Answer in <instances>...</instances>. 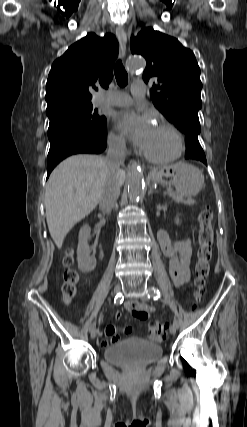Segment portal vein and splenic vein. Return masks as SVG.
I'll return each mask as SVG.
<instances>
[{
  "label": "portal vein and splenic vein",
  "mask_w": 247,
  "mask_h": 427,
  "mask_svg": "<svg viewBox=\"0 0 247 427\" xmlns=\"http://www.w3.org/2000/svg\"><path fill=\"white\" fill-rule=\"evenodd\" d=\"M166 193H168V194H172V193H171L170 191H168V192H165V194H166Z\"/></svg>",
  "instance_id": "1"
}]
</instances>
